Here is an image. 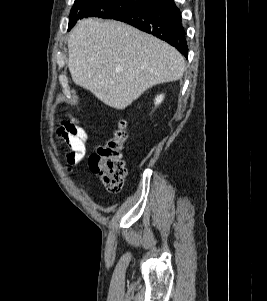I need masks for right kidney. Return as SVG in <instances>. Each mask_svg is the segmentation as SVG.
Returning <instances> with one entry per match:
<instances>
[{"mask_svg": "<svg viewBox=\"0 0 267 301\" xmlns=\"http://www.w3.org/2000/svg\"><path fill=\"white\" fill-rule=\"evenodd\" d=\"M163 99H164V95L157 96L155 99V105H159Z\"/></svg>", "mask_w": 267, "mask_h": 301, "instance_id": "ca27d5eb", "label": "right kidney"}]
</instances>
